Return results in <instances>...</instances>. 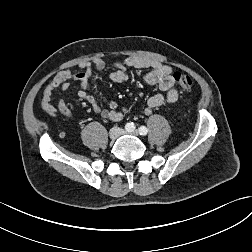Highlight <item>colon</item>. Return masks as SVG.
Returning <instances> with one entry per match:
<instances>
[{
	"instance_id": "obj_1",
	"label": "colon",
	"mask_w": 252,
	"mask_h": 252,
	"mask_svg": "<svg viewBox=\"0 0 252 252\" xmlns=\"http://www.w3.org/2000/svg\"><path fill=\"white\" fill-rule=\"evenodd\" d=\"M173 79L179 87H181L182 89L186 91H190L193 87V81L191 77L184 73L175 72L173 74Z\"/></svg>"
}]
</instances>
